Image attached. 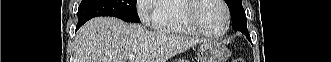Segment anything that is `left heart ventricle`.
I'll return each mask as SVG.
<instances>
[{
  "mask_svg": "<svg viewBox=\"0 0 331 62\" xmlns=\"http://www.w3.org/2000/svg\"><path fill=\"white\" fill-rule=\"evenodd\" d=\"M195 15L200 25L208 32H221L225 26L223 9L214 0L202 1L196 9Z\"/></svg>",
  "mask_w": 331,
  "mask_h": 62,
  "instance_id": "obj_1",
  "label": "left heart ventricle"
}]
</instances>
